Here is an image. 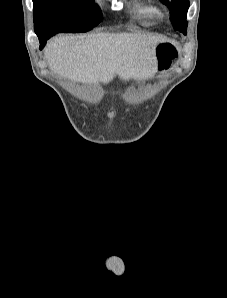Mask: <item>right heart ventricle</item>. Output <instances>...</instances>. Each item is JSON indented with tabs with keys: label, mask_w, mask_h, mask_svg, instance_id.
Masks as SVG:
<instances>
[{
	"label": "right heart ventricle",
	"mask_w": 227,
	"mask_h": 298,
	"mask_svg": "<svg viewBox=\"0 0 227 298\" xmlns=\"http://www.w3.org/2000/svg\"><path fill=\"white\" fill-rule=\"evenodd\" d=\"M137 11L148 20H155L162 14L161 8L152 2H141L137 4Z\"/></svg>",
	"instance_id": "e07e8e85"
}]
</instances>
